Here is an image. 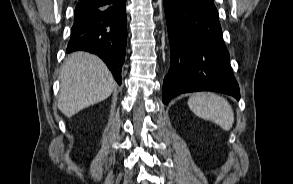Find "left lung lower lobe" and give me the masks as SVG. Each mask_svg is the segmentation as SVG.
<instances>
[{
  "mask_svg": "<svg viewBox=\"0 0 293 184\" xmlns=\"http://www.w3.org/2000/svg\"><path fill=\"white\" fill-rule=\"evenodd\" d=\"M163 2L171 56L170 71L163 82V103L194 91H217L239 100L213 0Z\"/></svg>",
  "mask_w": 293,
  "mask_h": 184,
  "instance_id": "obj_1",
  "label": "left lung lower lobe"
}]
</instances>
